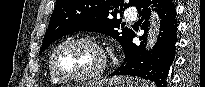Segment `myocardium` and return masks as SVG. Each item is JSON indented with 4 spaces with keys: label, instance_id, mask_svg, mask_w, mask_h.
<instances>
[{
    "label": "myocardium",
    "instance_id": "f54148a6",
    "mask_svg": "<svg viewBox=\"0 0 205 87\" xmlns=\"http://www.w3.org/2000/svg\"><path fill=\"white\" fill-rule=\"evenodd\" d=\"M72 43H86V44L93 46L95 49L98 50V52L101 55V62H100L99 67L95 71H93L91 73L83 74V75L68 76V75H64V74L60 73L57 70V68H56V56H57L58 52L66 45H69ZM106 65H107V56H106V53H105L102 45L96 39L91 38V37H86V36L72 37V38L66 39L65 41L61 42L53 50V52L50 56V59H49L50 72L57 80H59L60 82H65V83H72V82L81 83V82H89V81L96 80L103 75V73L106 70Z\"/></svg>",
    "mask_w": 205,
    "mask_h": 87
}]
</instances>
